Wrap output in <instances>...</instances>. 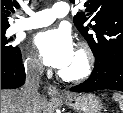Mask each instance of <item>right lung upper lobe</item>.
I'll list each match as a JSON object with an SVG mask.
<instances>
[{
  "instance_id": "1",
  "label": "right lung upper lobe",
  "mask_w": 123,
  "mask_h": 113,
  "mask_svg": "<svg viewBox=\"0 0 123 113\" xmlns=\"http://www.w3.org/2000/svg\"><path fill=\"white\" fill-rule=\"evenodd\" d=\"M20 6L16 0H1V29L8 28V16Z\"/></svg>"
}]
</instances>
